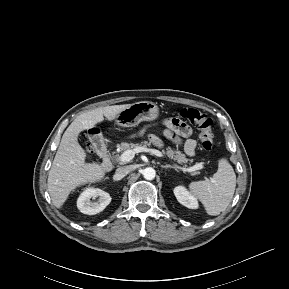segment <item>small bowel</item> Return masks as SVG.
<instances>
[{
  "mask_svg": "<svg viewBox=\"0 0 289 289\" xmlns=\"http://www.w3.org/2000/svg\"><path fill=\"white\" fill-rule=\"evenodd\" d=\"M166 135L175 141H179L181 138H187L184 144V149L187 155L193 156L196 148V141L189 138L191 131L189 127L183 122L172 119L165 123ZM152 140H156L153 136L150 137Z\"/></svg>",
  "mask_w": 289,
  "mask_h": 289,
  "instance_id": "c3829d8e",
  "label": "small bowel"
}]
</instances>
